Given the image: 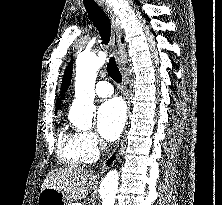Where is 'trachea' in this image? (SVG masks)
<instances>
[{"mask_svg": "<svg viewBox=\"0 0 222 205\" xmlns=\"http://www.w3.org/2000/svg\"><path fill=\"white\" fill-rule=\"evenodd\" d=\"M89 18L97 28L102 44L107 45L111 36V23L106 14L99 7L85 6ZM108 75L118 83L122 82V76L116 64L114 56L110 57L107 63Z\"/></svg>", "mask_w": 222, "mask_h": 205, "instance_id": "3493384b", "label": "trachea"}]
</instances>
